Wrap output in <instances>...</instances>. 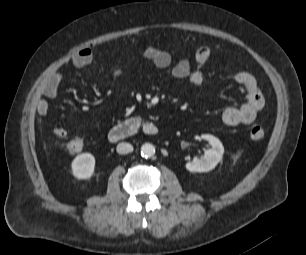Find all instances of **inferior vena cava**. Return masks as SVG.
Instances as JSON below:
<instances>
[{"label":"inferior vena cava","instance_id":"1","mask_svg":"<svg viewBox=\"0 0 306 255\" xmlns=\"http://www.w3.org/2000/svg\"><path fill=\"white\" fill-rule=\"evenodd\" d=\"M116 150L119 154H127L133 151V147L129 143H119Z\"/></svg>","mask_w":306,"mask_h":255}]
</instances>
